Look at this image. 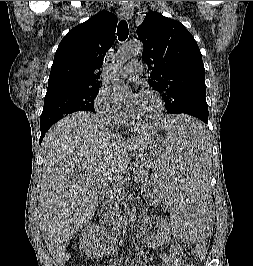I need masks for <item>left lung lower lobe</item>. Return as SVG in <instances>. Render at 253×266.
Instances as JSON below:
<instances>
[{
  "mask_svg": "<svg viewBox=\"0 0 253 266\" xmlns=\"http://www.w3.org/2000/svg\"><path fill=\"white\" fill-rule=\"evenodd\" d=\"M200 124H201L200 122H196V126H200Z\"/></svg>",
  "mask_w": 253,
  "mask_h": 266,
  "instance_id": "left-lung-lower-lobe-1",
  "label": "left lung lower lobe"
}]
</instances>
